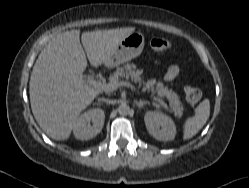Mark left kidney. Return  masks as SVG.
<instances>
[{"mask_svg": "<svg viewBox=\"0 0 249 188\" xmlns=\"http://www.w3.org/2000/svg\"><path fill=\"white\" fill-rule=\"evenodd\" d=\"M148 132L157 140H173L176 135V126L173 120L159 111H148L144 117Z\"/></svg>", "mask_w": 249, "mask_h": 188, "instance_id": "1", "label": "left kidney"}]
</instances>
